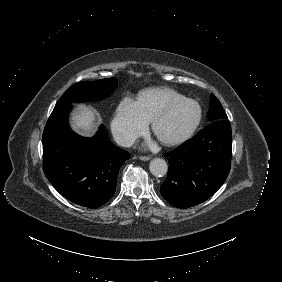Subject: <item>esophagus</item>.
<instances>
[{
    "mask_svg": "<svg viewBox=\"0 0 282 282\" xmlns=\"http://www.w3.org/2000/svg\"><path fill=\"white\" fill-rule=\"evenodd\" d=\"M139 159L142 161H148L151 159V157L150 156H139Z\"/></svg>",
    "mask_w": 282,
    "mask_h": 282,
    "instance_id": "esophagus-1",
    "label": "esophagus"
}]
</instances>
